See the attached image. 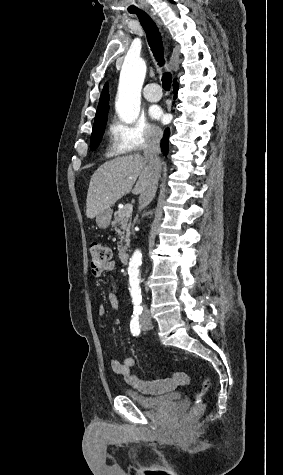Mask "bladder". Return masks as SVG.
I'll use <instances>...</instances> for the list:
<instances>
[{"mask_svg":"<svg viewBox=\"0 0 283 475\" xmlns=\"http://www.w3.org/2000/svg\"><path fill=\"white\" fill-rule=\"evenodd\" d=\"M125 395L133 403L138 404L141 408L146 410L158 409L160 406L173 405L178 406L181 395L176 392H168L161 397H147L134 389H125Z\"/></svg>","mask_w":283,"mask_h":475,"instance_id":"bladder-1","label":"bladder"}]
</instances>
